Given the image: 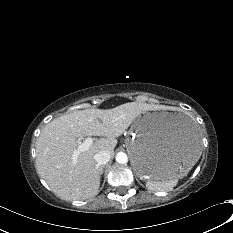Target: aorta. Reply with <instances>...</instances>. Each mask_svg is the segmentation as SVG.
I'll return each instance as SVG.
<instances>
[{
	"label": "aorta",
	"mask_w": 233,
	"mask_h": 233,
	"mask_svg": "<svg viewBox=\"0 0 233 233\" xmlns=\"http://www.w3.org/2000/svg\"><path fill=\"white\" fill-rule=\"evenodd\" d=\"M116 162L119 164H126L128 162L127 154L124 152L117 153Z\"/></svg>",
	"instance_id": "aorta-1"
}]
</instances>
